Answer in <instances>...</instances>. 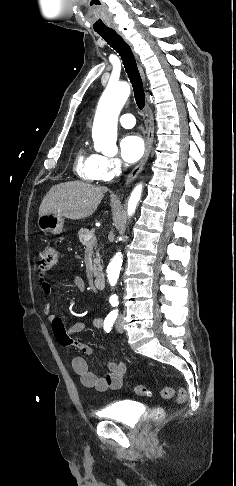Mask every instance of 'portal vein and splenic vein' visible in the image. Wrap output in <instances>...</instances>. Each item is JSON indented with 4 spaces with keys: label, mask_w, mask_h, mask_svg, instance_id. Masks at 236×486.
I'll use <instances>...</instances> for the list:
<instances>
[{
    "label": "portal vein and splenic vein",
    "mask_w": 236,
    "mask_h": 486,
    "mask_svg": "<svg viewBox=\"0 0 236 486\" xmlns=\"http://www.w3.org/2000/svg\"><path fill=\"white\" fill-rule=\"evenodd\" d=\"M91 239V236L86 237V241H89Z\"/></svg>",
    "instance_id": "18ae733b"
}]
</instances>
